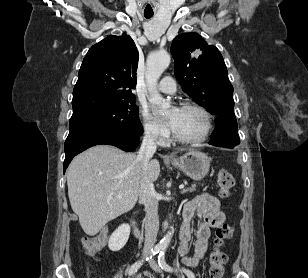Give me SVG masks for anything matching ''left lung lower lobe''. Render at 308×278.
I'll use <instances>...</instances> for the list:
<instances>
[{
    "label": "left lung lower lobe",
    "instance_id": "left-lung-lower-lobe-1",
    "mask_svg": "<svg viewBox=\"0 0 308 278\" xmlns=\"http://www.w3.org/2000/svg\"><path fill=\"white\" fill-rule=\"evenodd\" d=\"M215 124L216 128L211 136V145L233 148L240 143L234 112L229 111L218 114Z\"/></svg>",
    "mask_w": 308,
    "mask_h": 278
}]
</instances>
